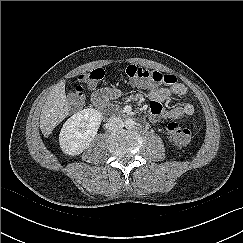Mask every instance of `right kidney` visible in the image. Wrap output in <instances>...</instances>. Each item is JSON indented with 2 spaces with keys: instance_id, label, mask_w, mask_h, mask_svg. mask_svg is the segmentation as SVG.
Returning <instances> with one entry per match:
<instances>
[{
  "instance_id": "obj_1",
  "label": "right kidney",
  "mask_w": 243,
  "mask_h": 243,
  "mask_svg": "<svg viewBox=\"0 0 243 243\" xmlns=\"http://www.w3.org/2000/svg\"><path fill=\"white\" fill-rule=\"evenodd\" d=\"M101 121V114L93 108L75 113L61 129L59 143L62 151L69 156L81 154L93 141Z\"/></svg>"
}]
</instances>
